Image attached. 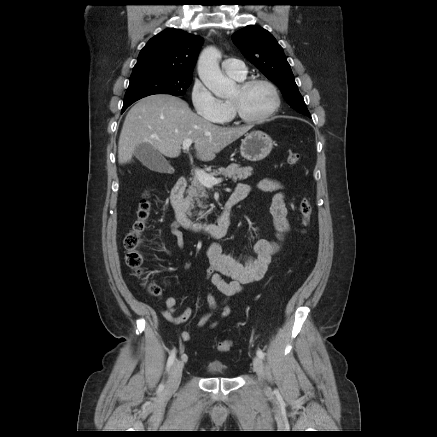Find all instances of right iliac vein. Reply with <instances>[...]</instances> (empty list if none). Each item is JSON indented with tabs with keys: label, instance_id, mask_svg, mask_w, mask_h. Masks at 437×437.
Listing matches in <instances>:
<instances>
[{
	"label": "right iliac vein",
	"instance_id": "obj_1",
	"mask_svg": "<svg viewBox=\"0 0 437 437\" xmlns=\"http://www.w3.org/2000/svg\"><path fill=\"white\" fill-rule=\"evenodd\" d=\"M182 369H183V362L177 360L173 364L171 371L169 373L168 381L165 388V392L167 394H171L177 390L182 377Z\"/></svg>",
	"mask_w": 437,
	"mask_h": 437
}]
</instances>
